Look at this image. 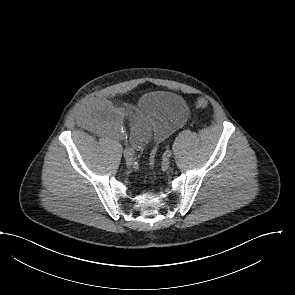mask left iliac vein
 Wrapping results in <instances>:
<instances>
[{
    "label": "left iliac vein",
    "mask_w": 295,
    "mask_h": 295,
    "mask_svg": "<svg viewBox=\"0 0 295 295\" xmlns=\"http://www.w3.org/2000/svg\"><path fill=\"white\" fill-rule=\"evenodd\" d=\"M162 166L165 169H168L169 168V166H170V159L168 157H166V158L163 159Z\"/></svg>",
    "instance_id": "1"
}]
</instances>
